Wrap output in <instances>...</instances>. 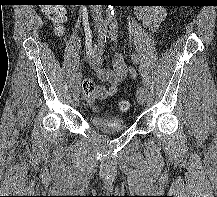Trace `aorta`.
<instances>
[{
	"mask_svg": "<svg viewBox=\"0 0 217 197\" xmlns=\"http://www.w3.org/2000/svg\"><path fill=\"white\" fill-rule=\"evenodd\" d=\"M109 7H110V6H109ZM107 16H108V17L113 16V12H112V10H111V7L107 10Z\"/></svg>",
	"mask_w": 217,
	"mask_h": 197,
	"instance_id": "1",
	"label": "aorta"
}]
</instances>
